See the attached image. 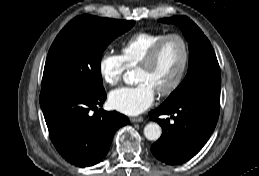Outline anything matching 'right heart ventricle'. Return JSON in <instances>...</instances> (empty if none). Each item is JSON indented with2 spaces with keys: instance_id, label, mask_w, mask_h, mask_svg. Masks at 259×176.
<instances>
[{
  "instance_id": "obj_1",
  "label": "right heart ventricle",
  "mask_w": 259,
  "mask_h": 176,
  "mask_svg": "<svg viewBox=\"0 0 259 176\" xmlns=\"http://www.w3.org/2000/svg\"><path fill=\"white\" fill-rule=\"evenodd\" d=\"M166 34L142 31L131 35L122 45L120 56L128 68L136 67L153 45Z\"/></svg>"
}]
</instances>
